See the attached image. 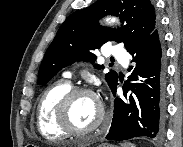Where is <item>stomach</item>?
Wrapping results in <instances>:
<instances>
[{
  "mask_svg": "<svg viewBox=\"0 0 183 147\" xmlns=\"http://www.w3.org/2000/svg\"><path fill=\"white\" fill-rule=\"evenodd\" d=\"M97 147H115V146L107 144V143H103V144L98 145Z\"/></svg>",
  "mask_w": 183,
  "mask_h": 147,
  "instance_id": "0dacf381",
  "label": "stomach"
}]
</instances>
